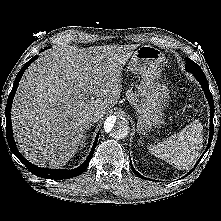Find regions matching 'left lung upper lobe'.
Here are the masks:
<instances>
[{
  "mask_svg": "<svg viewBox=\"0 0 221 221\" xmlns=\"http://www.w3.org/2000/svg\"><path fill=\"white\" fill-rule=\"evenodd\" d=\"M186 71L188 72H202V69L198 64L190 60L189 58H186V66H185Z\"/></svg>",
  "mask_w": 221,
  "mask_h": 221,
  "instance_id": "left-lung-upper-lobe-1",
  "label": "left lung upper lobe"
}]
</instances>
